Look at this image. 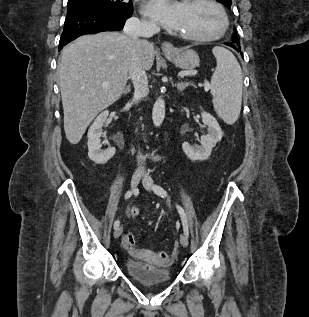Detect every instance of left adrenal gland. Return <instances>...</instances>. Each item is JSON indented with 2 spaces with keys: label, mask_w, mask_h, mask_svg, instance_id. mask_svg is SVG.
Here are the masks:
<instances>
[{
  "label": "left adrenal gland",
  "mask_w": 309,
  "mask_h": 317,
  "mask_svg": "<svg viewBox=\"0 0 309 317\" xmlns=\"http://www.w3.org/2000/svg\"><path fill=\"white\" fill-rule=\"evenodd\" d=\"M189 85H193L191 82H178L176 84V87L179 91H183L186 87H188Z\"/></svg>",
  "instance_id": "a2214340"
}]
</instances>
